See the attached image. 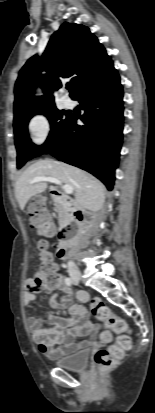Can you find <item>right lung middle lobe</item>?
<instances>
[{"label": "right lung middle lobe", "instance_id": "right-lung-middle-lobe-1", "mask_svg": "<svg viewBox=\"0 0 155 413\" xmlns=\"http://www.w3.org/2000/svg\"><path fill=\"white\" fill-rule=\"evenodd\" d=\"M41 114H44L51 124V131L45 143L41 146H36L29 138L27 126L31 117L23 118L14 122L15 145L17 149V168H21L28 160L37 157L51 145L55 138L59 135L69 115L64 110H58L56 107L49 108Z\"/></svg>", "mask_w": 155, "mask_h": 413}]
</instances>
